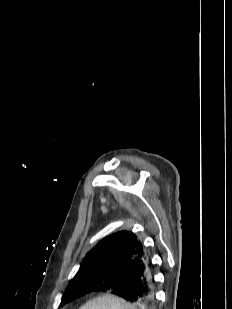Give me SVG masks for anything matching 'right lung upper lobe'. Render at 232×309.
<instances>
[{
	"label": "right lung upper lobe",
	"instance_id": "obj_1",
	"mask_svg": "<svg viewBox=\"0 0 232 309\" xmlns=\"http://www.w3.org/2000/svg\"><path fill=\"white\" fill-rule=\"evenodd\" d=\"M146 259L144 247L136 235L122 230L107 236L90 250L75 277L96 271L119 273V268L126 263H140Z\"/></svg>",
	"mask_w": 232,
	"mask_h": 309
}]
</instances>
